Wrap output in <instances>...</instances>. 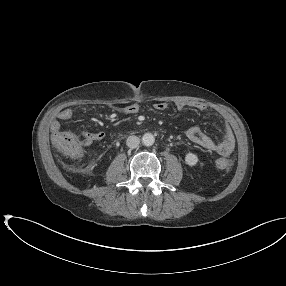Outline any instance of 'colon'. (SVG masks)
I'll return each mask as SVG.
<instances>
[{
    "instance_id": "5ec220e1",
    "label": "colon",
    "mask_w": 286,
    "mask_h": 286,
    "mask_svg": "<svg viewBox=\"0 0 286 286\" xmlns=\"http://www.w3.org/2000/svg\"><path fill=\"white\" fill-rule=\"evenodd\" d=\"M53 142L60 154L71 159H84L86 152L84 146L86 145V138L83 134H76L71 131L57 132L53 137ZM232 160L221 158L216 162L219 169H227L231 167Z\"/></svg>"
}]
</instances>
